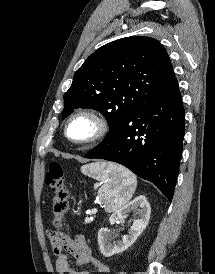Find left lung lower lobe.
Returning <instances> with one entry per match:
<instances>
[{"mask_svg": "<svg viewBox=\"0 0 215 274\" xmlns=\"http://www.w3.org/2000/svg\"><path fill=\"white\" fill-rule=\"evenodd\" d=\"M185 113L177 79L133 109L85 158L117 162L154 183L172 201L182 154Z\"/></svg>", "mask_w": 215, "mask_h": 274, "instance_id": "left-lung-lower-lobe-1", "label": "left lung lower lobe"}]
</instances>
